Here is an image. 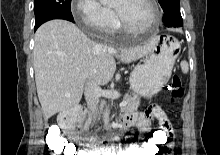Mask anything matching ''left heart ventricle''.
<instances>
[{
	"instance_id": "b2bd125f",
	"label": "left heart ventricle",
	"mask_w": 220,
	"mask_h": 155,
	"mask_svg": "<svg viewBox=\"0 0 220 155\" xmlns=\"http://www.w3.org/2000/svg\"><path fill=\"white\" fill-rule=\"evenodd\" d=\"M113 8L133 28H142L150 21V8L145 0H116Z\"/></svg>"
}]
</instances>
